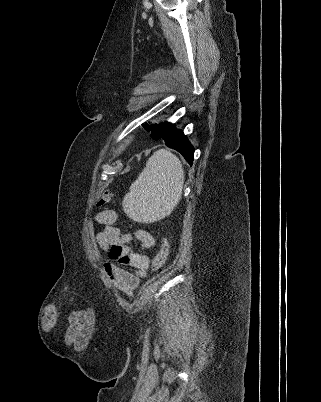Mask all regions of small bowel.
Returning a JSON list of instances; mask_svg holds the SVG:
<instances>
[{
	"mask_svg": "<svg viewBox=\"0 0 321 402\" xmlns=\"http://www.w3.org/2000/svg\"><path fill=\"white\" fill-rule=\"evenodd\" d=\"M95 221L104 229L95 236L96 243L107 254L110 261L104 264L107 278L127 296H132L141 280L146 278L149 258L145 254L134 252L129 243L135 239L144 249L155 245L154 236L145 229H137L132 235L123 233L117 226L114 211L104 209L96 213ZM122 265L130 269H124ZM91 308V305H88ZM86 307H76L72 315L66 318V340L74 343L76 353L87 351L88 340L92 337V312Z\"/></svg>",
	"mask_w": 321,
	"mask_h": 402,
	"instance_id": "obj_1",
	"label": "small bowel"
}]
</instances>
